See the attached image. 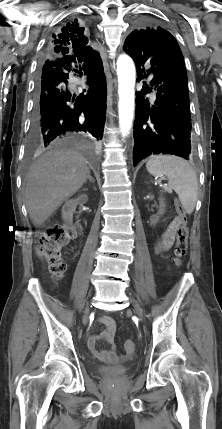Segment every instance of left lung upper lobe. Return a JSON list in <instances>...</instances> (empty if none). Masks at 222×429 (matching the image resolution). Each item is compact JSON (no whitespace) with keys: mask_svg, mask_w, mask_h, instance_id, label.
Listing matches in <instances>:
<instances>
[{"mask_svg":"<svg viewBox=\"0 0 222 429\" xmlns=\"http://www.w3.org/2000/svg\"><path fill=\"white\" fill-rule=\"evenodd\" d=\"M164 29L161 27H145L143 29L134 30L126 39L124 50L127 51L132 44L136 42H145L150 46H155L163 40L162 35L165 34Z\"/></svg>","mask_w":222,"mask_h":429,"instance_id":"5c2ea615","label":"left lung upper lobe"}]
</instances>
